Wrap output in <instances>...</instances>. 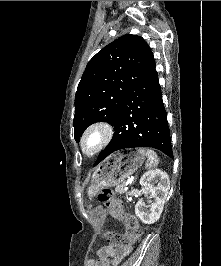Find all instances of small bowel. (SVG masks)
<instances>
[{"label":"small bowel","mask_w":221,"mask_h":266,"mask_svg":"<svg viewBox=\"0 0 221 266\" xmlns=\"http://www.w3.org/2000/svg\"><path fill=\"white\" fill-rule=\"evenodd\" d=\"M95 210L97 213H103L104 211L101 207H96ZM131 249V242H126L118 248L101 247L97 250L98 259L89 260L87 266H98L99 261H104L102 266H116L124 256L130 253Z\"/></svg>","instance_id":"c3829d8e"}]
</instances>
